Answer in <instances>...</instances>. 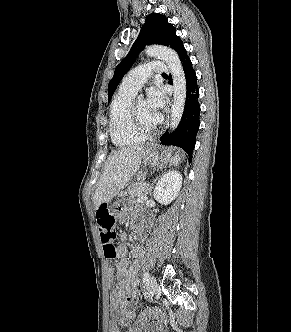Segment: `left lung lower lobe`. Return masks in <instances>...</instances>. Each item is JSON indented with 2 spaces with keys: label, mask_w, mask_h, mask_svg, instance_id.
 <instances>
[{
  "label": "left lung lower lobe",
  "mask_w": 291,
  "mask_h": 332,
  "mask_svg": "<svg viewBox=\"0 0 291 332\" xmlns=\"http://www.w3.org/2000/svg\"><path fill=\"white\" fill-rule=\"evenodd\" d=\"M179 58L186 78V101L184 112L178 127L174 132H166L161 136L160 141L165 145L181 147L192 160V152L195 147L196 135L199 130L200 104L199 88L197 85L196 73L192 67V62L188 57L185 48L179 53ZM169 83H172L171 78Z\"/></svg>",
  "instance_id": "0a47b994"
}]
</instances>
